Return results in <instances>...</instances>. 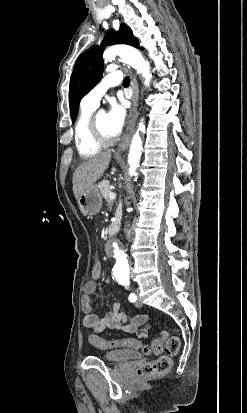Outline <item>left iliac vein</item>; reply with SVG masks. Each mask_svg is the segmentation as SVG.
<instances>
[{
    "mask_svg": "<svg viewBox=\"0 0 247 413\" xmlns=\"http://www.w3.org/2000/svg\"><path fill=\"white\" fill-rule=\"evenodd\" d=\"M137 296H138V299H137V301L135 302V306L138 307V308H140V307H142V301H141V299H140V297H139V295H138V292H137Z\"/></svg>",
    "mask_w": 247,
    "mask_h": 413,
    "instance_id": "left-iliac-vein-1",
    "label": "left iliac vein"
}]
</instances>
